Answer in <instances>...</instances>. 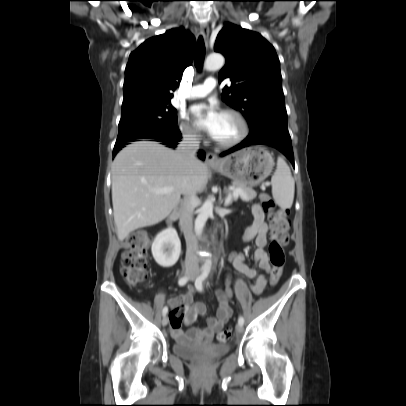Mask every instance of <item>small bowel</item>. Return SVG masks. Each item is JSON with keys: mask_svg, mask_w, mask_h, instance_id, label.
Returning <instances> with one entry per match:
<instances>
[{"mask_svg": "<svg viewBox=\"0 0 406 406\" xmlns=\"http://www.w3.org/2000/svg\"><path fill=\"white\" fill-rule=\"evenodd\" d=\"M251 212L254 220L252 225L245 231L243 240L250 241L255 239L257 250L253 256L254 266L251 267L248 265V257L245 253L232 252L228 257V260L245 278L254 280V283L250 284V288L254 294L258 295L264 290L267 284L268 274L271 270L266 252L269 228L264 219V212L259 205H254ZM229 283L230 281L227 279V286ZM194 293L195 289L189 288L185 294L172 297L169 300V304L172 308L180 313H186L183 320L185 325H190L197 315H204L206 313V306L203 303H194ZM230 294V289L227 287L224 293L218 295L217 316L207 319L208 327L206 329L191 328L187 333H184L181 329L182 320L178 327H174L170 319V326L173 335L180 341H185L189 338L211 339L232 316L233 311L228 300Z\"/></svg>", "mask_w": 406, "mask_h": 406, "instance_id": "1", "label": "small bowel"}]
</instances>
